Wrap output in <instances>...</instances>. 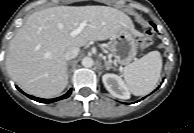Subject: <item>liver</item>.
<instances>
[{
  "label": "liver",
  "mask_w": 194,
  "mask_h": 133,
  "mask_svg": "<svg viewBox=\"0 0 194 133\" xmlns=\"http://www.w3.org/2000/svg\"><path fill=\"white\" fill-rule=\"evenodd\" d=\"M83 21L86 26L72 37ZM125 27L134 28L130 17L107 6H58L34 12L10 41L7 71L27 93L55 97L68 84L65 52L106 40Z\"/></svg>",
  "instance_id": "1"
}]
</instances>
